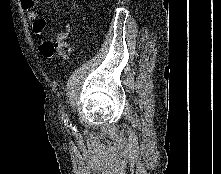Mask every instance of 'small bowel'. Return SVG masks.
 I'll return each mask as SVG.
<instances>
[{
  "mask_svg": "<svg viewBox=\"0 0 221 174\" xmlns=\"http://www.w3.org/2000/svg\"><path fill=\"white\" fill-rule=\"evenodd\" d=\"M37 0H21V4L26 11L27 18L32 21L33 30L36 35H42L45 29V20L38 16L35 9ZM71 32V26L65 24L60 33L56 35L54 41L44 40L40 44V52L44 57L51 58L57 52L62 58H67V53L72 50L66 42V38Z\"/></svg>",
  "mask_w": 221,
  "mask_h": 174,
  "instance_id": "1",
  "label": "small bowel"
}]
</instances>
